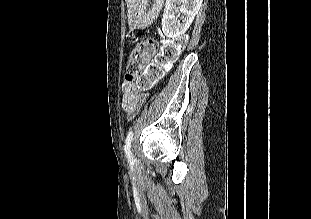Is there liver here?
<instances>
[{
    "mask_svg": "<svg viewBox=\"0 0 311 219\" xmlns=\"http://www.w3.org/2000/svg\"><path fill=\"white\" fill-rule=\"evenodd\" d=\"M126 2L130 6L128 9V15L130 16L138 5L139 0H126Z\"/></svg>",
    "mask_w": 311,
    "mask_h": 219,
    "instance_id": "liver-1",
    "label": "liver"
}]
</instances>
